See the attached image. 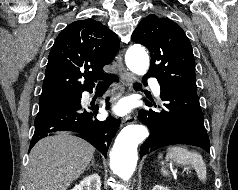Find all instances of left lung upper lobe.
I'll use <instances>...</instances> for the list:
<instances>
[{"label": "left lung upper lobe", "instance_id": "5c2ea615", "mask_svg": "<svg viewBox=\"0 0 238 190\" xmlns=\"http://www.w3.org/2000/svg\"><path fill=\"white\" fill-rule=\"evenodd\" d=\"M132 40L151 54L148 76L160 86L196 92L195 60L185 32L172 20L150 14L140 21Z\"/></svg>", "mask_w": 238, "mask_h": 190}]
</instances>
